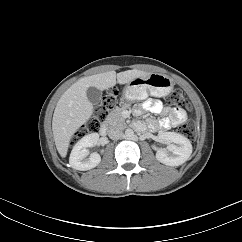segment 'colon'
<instances>
[{"mask_svg": "<svg viewBox=\"0 0 242 242\" xmlns=\"http://www.w3.org/2000/svg\"><path fill=\"white\" fill-rule=\"evenodd\" d=\"M116 102L115 93H108L102 100L101 104L96 108L93 116L86 122V124L77 130L74 135L73 140L77 141L78 139L84 137L89 133L98 132L102 123L107 118L109 112L114 108ZM167 102L169 105L180 108V109H189V103L180 90L173 91ZM180 132L190 140L195 138V129L194 125L191 122H187L180 127Z\"/></svg>", "mask_w": 242, "mask_h": 242, "instance_id": "obj_1", "label": "colon"}]
</instances>
